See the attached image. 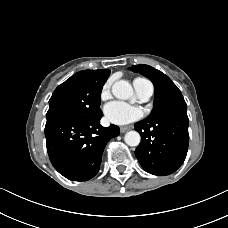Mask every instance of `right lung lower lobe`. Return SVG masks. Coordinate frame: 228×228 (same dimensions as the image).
I'll return each instance as SVG.
<instances>
[{
  "label": "right lung lower lobe",
  "mask_w": 228,
  "mask_h": 228,
  "mask_svg": "<svg viewBox=\"0 0 228 228\" xmlns=\"http://www.w3.org/2000/svg\"><path fill=\"white\" fill-rule=\"evenodd\" d=\"M103 113L92 118H58L45 126L47 151L54 168L73 181H86L100 168L107 142L119 135L116 125L102 127Z\"/></svg>",
  "instance_id": "right-lung-lower-lobe-1"
}]
</instances>
